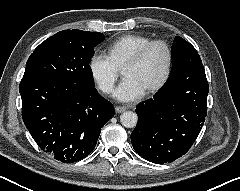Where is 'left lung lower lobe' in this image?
<instances>
[{"instance_id":"obj_1","label":"left lung lower lobe","mask_w":240,"mask_h":191,"mask_svg":"<svg viewBox=\"0 0 240 191\" xmlns=\"http://www.w3.org/2000/svg\"><path fill=\"white\" fill-rule=\"evenodd\" d=\"M208 92L204 67H178L152 99L138 104L139 121L131 134L134 150L157 164L184 155L204 124Z\"/></svg>"}]
</instances>
